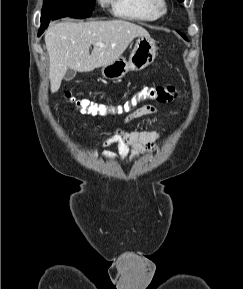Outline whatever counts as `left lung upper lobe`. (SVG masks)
Returning <instances> with one entry per match:
<instances>
[{
	"mask_svg": "<svg viewBox=\"0 0 243 289\" xmlns=\"http://www.w3.org/2000/svg\"><path fill=\"white\" fill-rule=\"evenodd\" d=\"M179 2H182V1H184V0H178Z\"/></svg>",
	"mask_w": 243,
	"mask_h": 289,
	"instance_id": "obj_1",
	"label": "left lung upper lobe"
}]
</instances>
